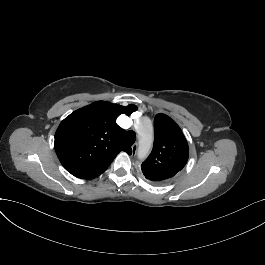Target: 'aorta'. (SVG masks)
I'll return each mask as SVG.
<instances>
[{"instance_id": "aorta-1", "label": "aorta", "mask_w": 265, "mask_h": 265, "mask_svg": "<svg viewBox=\"0 0 265 265\" xmlns=\"http://www.w3.org/2000/svg\"><path fill=\"white\" fill-rule=\"evenodd\" d=\"M152 141V130L151 126H149V129L142 133V138L139 143L138 155L140 158H144L148 154L152 145Z\"/></svg>"}]
</instances>
